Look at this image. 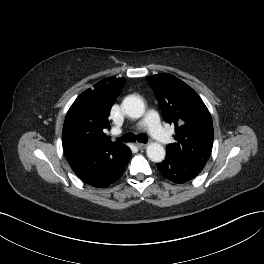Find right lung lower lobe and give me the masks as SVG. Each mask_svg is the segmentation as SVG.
<instances>
[{
  "mask_svg": "<svg viewBox=\"0 0 264 264\" xmlns=\"http://www.w3.org/2000/svg\"><path fill=\"white\" fill-rule=\"evenodd\" d=\"M130 157L131 151L125 147L113 155L101 153L68 161L73 171L84 183L102 188L116 182L122 176Z\"/></svg>",
  "mask_w": 264,
  "mask_h": 264,
  "instance_id": "obj_1",
  "label": "right lung lower lobe"
}]
</instances>
